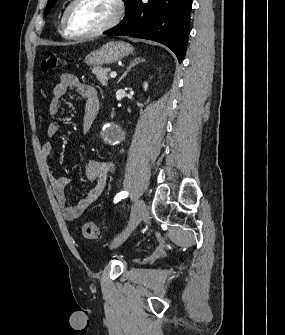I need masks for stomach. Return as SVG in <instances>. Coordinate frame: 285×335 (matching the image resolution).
I'll list each match as a JSON object with an SVG mask.
<instances>
[{"mask_svg": "<svg viewBox=\"0 0 285 335\" xmlns=\"http://www.w3.org/2000/svg\"><path fill=\"white\" fill-rule=\"evenodd\" d=\"M134 48L126 42H107L99 50H94L85 56L88 66H103V64H115L120 62L125 56H129Z\"/></svg>", "mask_w": 285, "mask_h": 335, "instance_id": "0dacf381", "label": "stomach"}]
</instances>
